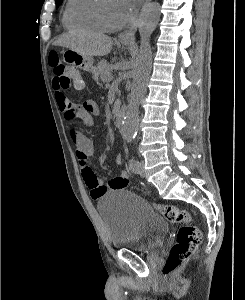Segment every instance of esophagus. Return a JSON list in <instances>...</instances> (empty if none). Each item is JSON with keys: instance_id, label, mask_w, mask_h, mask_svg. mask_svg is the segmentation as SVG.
<instances>
[{"instance_id": "obj_1", "label": "esophagus", "mask_w": 245, "mask_h": 300, "mask_svg": "<svg viewBox=\"0 0 245 300\" xmlns=\"http://www.w3.org/2000/svg\"><path fill=\"white\" fill-rule=\"evenodd\" d=\"M151 0H144V6ZM138 27V22L133 23L127 30L118 35V40L121 42H133L135 40V33Z\"/></svg>"}]
</instances>
